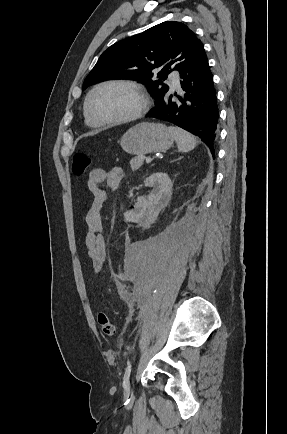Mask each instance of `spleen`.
Here are the masks:
<instances>
[{"instance_id": "3e777b00", "label": "spleen", "mask_w": 287, "mask_h": 434, "mask_svg": "<svg viewBox=\"0 0 287 434\" xmlns=\"http://www.w3.org/2000/svg\"><path fill=\"white\" fill-rule=\"evenodd\" d=\"M168 130L176 141L180 152H189L196 147V139L187 131L173 126H170Z\"/></svg>"}]
</instances>
